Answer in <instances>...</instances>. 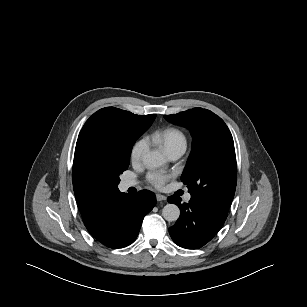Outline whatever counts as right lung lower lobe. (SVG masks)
Masks as SVG:
<instances>
[{"mask_svg":"<svg viewBox=\"0 0 307 307\" xmlns=\"http://www.w3.org/2000/svg\"><path fill=\"white\" fill-rule=\"evenodd\" d=\"M156 204V197L149 190L136 195L120 193L116 196L96 228L89 231L103 245L123 248L135 241L142 221Z\"/></svg>","mask_w":307,"mask_h":307,"instance_id":"98d812e1","label":"right lung lower lobe"}]
</instances>
